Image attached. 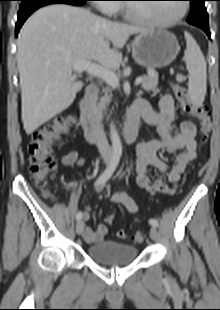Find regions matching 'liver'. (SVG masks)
<instances>
[{
	"label": "liver",
	"instance_id": "liver-1",
	"mask_svg": "<svg viewBox=\"0 0 220 310\" xmlns=\"http://www.w3.org/2000/svg\"><path fill=\"white\" fill-rule=\"evenodd\" d=\"M145 31L69 5L36 11L20 31L16 55L25 132L33 133L73 103L83 87L72 74L75 62L93 60L117 69L122 62L118 49L130 35Z\"/></svg>",
	"mask_w": 220,
	"mask_h": 310
}]
</instances>
